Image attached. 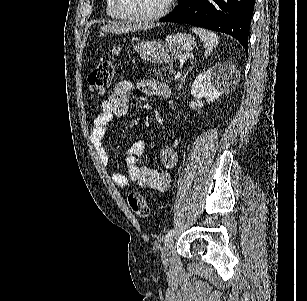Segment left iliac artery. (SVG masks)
<instances>
[{
    "instance_id": "left-iliac-artery-1",
    "label": "left iliac artery",
    "mask_w": 307,
    "mask_h": 301,
    "mask_svg": "<svg viewBox=\"0 0 307 301\" xmlns=\"http://www.w3.org/2000/svg\"><path fill=\"white\" fill-rule=\"evenodd\" d=\"M173 232H174L173 229H171V230L168 231V233H167L166 236H165V241L171 239V237H172V235H173Z\"/></svg>"
}]
</instances>
